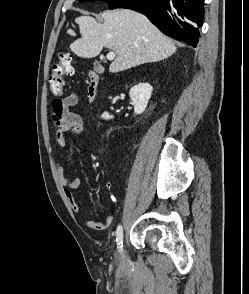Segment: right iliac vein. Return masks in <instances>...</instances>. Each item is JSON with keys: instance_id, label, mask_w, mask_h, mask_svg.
<instances>
[{"instance_id": "right-iliac-vein-1", "label": "right iliac vein", "mask_w": 249, "mask_h": 294, "mask_svg": "<svg viewBox=\"0 0 249 294\" xmlns=\"http://www.w3.org/2000/svg\"><path fill=\"white\" fill-rule=\"evenodd\" d=\"M120 260L123 261V262L126 260V252H125L124 249H123V251H122V255H121V257H120Z\"/></svg>"}]
</instances>
